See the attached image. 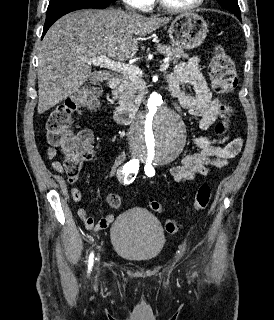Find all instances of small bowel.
<instances>
[{
  "label": "small bowel",
  "mask_w": 274,
  "mask_h": 320,
  "mask_svg": "<svg viewBox=\"0 0 274 320\" xmlns=\"http://www.w3.org/2000/svg\"><path fill=\"white\" fill-rule=\"evenodd\" d=\"M167 81L179 104L192 116L198 118L197 126L201 130L209 129L220 114L221 99L214 97L208 87L207 81L199 67L197 57H191L188 61L176 66L167 77ZM184 84H190L194 94L189 95L183 89ZM198 152L189 153L182 157L178 165L170 168V174L175 183L184 184L193 181L197 177L206 176L213 168L224 166L228 160L235 157L243 146L241 137L229 139L227 136L219 138L211 135H200L192 139ZM50 153H57V146L49 147ZM87 158H97L94 151H89ZM44 163H52V168L58 173H63L60 162H54L52 154L43 157ZM125 162V155L120 154L111 165L108 174L114 176L119 173ZM71 195L76 203L82 201V195L77 187L71 189ZM77 216L87 226L94 223L93 218L84 208L77 210ZM114 221L112 214L105 215L97 223L101 229L108 227ZM88 229V228H87ZM89 230V229H88Z\"/></svg>",
  "instance_id": "1"
}]
</instances>
